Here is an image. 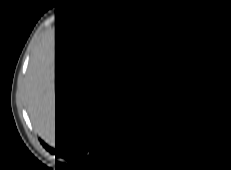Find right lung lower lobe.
<instances>
[{
	"mask_svg": "<svg viewBox=\"0 0 231 170\" xmlns=\"http://www.w3.org/2000/svg\"><path fill=\"white\" fill-rule=\"evenodd\" d=\"M113 105V101H110L107 110L110 109V107ZM97 136H95L92 140H89V143L85 144L84 146L78 148V149H71V150H63V149H53L46 144H44V147L50 151L52 154H55L59 157L66 158V159H75L79 158L82 155H84L85 152L88 151V149L97 141ZM43 143V142H42Z\"/></svg>",
	"mask_w": 231,
	"mask_h": 170,
	"instance_id": "right-lung-lower-lobe-1",
	"label": "right lung lower lobe"
}]
</instances>
